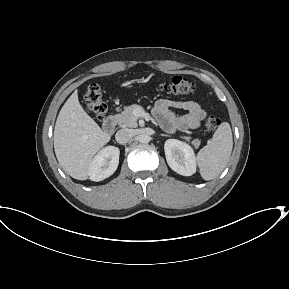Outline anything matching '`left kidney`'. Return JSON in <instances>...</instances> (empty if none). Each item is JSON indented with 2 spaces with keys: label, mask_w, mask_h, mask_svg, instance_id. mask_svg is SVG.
Returning <instances> with one entry per match:
<instances>
[{
  "label": "left kidney",
  "mask_w": 289,
  "mask_h": 289,
  "mask_svg": "<svg viewBox=\"0 0 289 289\" xmlns=\"http://www.w3.org/2000/svg\"><path fill=\"white\" fill-rule=\"evenodd\" d=\"M165 156L169 167L183 176L196 172V157L191 146L177 139H168L164 145Z\"/></svg>",
  "instance_id": "1"
}]
</instances>
